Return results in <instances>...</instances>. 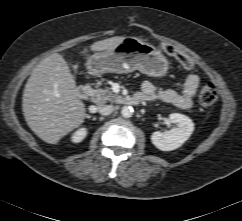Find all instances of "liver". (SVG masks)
Instances as JSON below:
<instances>
[{"mask_svg": "<svg viewBox=\"0 0 242 221\" xmlns=\"http://www.w3.org/2000/svg\"><path fill=\"white\" fill-rule=\"evenodd\" d=\"M123 36L94 42V52L111 50ZM22 107L29 128L43 141L57 144L85 119L75 80L59 53L44 58L33 69L23 92Z\"/></svg>", "mask_w": 242, "mask_h": 221, "instance_id": "6515ba94", "label": "liver"}]
</instances>
